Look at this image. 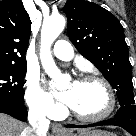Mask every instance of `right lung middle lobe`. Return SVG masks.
<instances>
[{"label":"right lung middle lobe","instance_id":"dd1d6c3e","mask_svg":"<svg viewBox=\"0 0 136 136\" xmlns=\"http://www.w3.org/2000/svg\"><path fill=\"white\" fill-rule=\"evenodd\" d=\"M26 64L0 65V104H24V77Z\"/></svg>","mask_w":136,"mask_h":136}]
</instances>
